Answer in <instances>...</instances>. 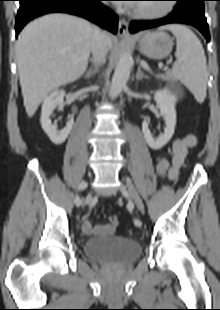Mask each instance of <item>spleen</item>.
I'll return each instance as SVG.
<instances>
[{"label": "spleen", "mask_w": 220, "mask_h": 310, "mask_svg": "<svg viewBox=\"0 0 220 310\" xmlns=\"http://www.w3.org/2000/svg\"><path fill=\"white\" fill-rule=\"evenodd\" d=\"M160 29L171 31L177 41V61L173 66L175 77L191 91L197 102L202 103L206 97L208 72L200 40L184 25L170 24Z\"/></svg>", "instance_id": "3e777b00"}]
</instances>
